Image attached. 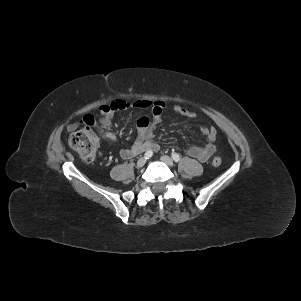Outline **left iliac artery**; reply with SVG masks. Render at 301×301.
<instances>
[{
	"label": "left iliac artery",
	"instance_id": "left-iliac-artery-1",
	"mask_svg": "<svg viewBox=\"0 0 301 301\" xmlns=\"http://www.w3.org/2000/svg\"><path fill=\"white\" fill-rule=\"evenodd\" d=\"M172 158H173V160L175 161V162H179V160H180V156H179V154H177V153H172Z\"/></svg>",
	"mask_w": 301,
	"mask_h": 301
}]
</instances>
